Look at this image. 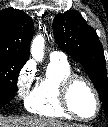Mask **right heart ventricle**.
<instances>
[{
	"mask_svg": "<svg viewBox=\"0 0 108 127\" xmlns=\"http://www.w3.org/2000/svg\"><path fill=\"white\" fill-rule=\"evenodd\" d=\"M67 61L51 60L43 77L36 83L26 101L27 109L36 115L56 118H71L60 101L62 81L72 74Z\"/></svg>",
	"mask_w": 108,
	"mask_h": 127,
	"instance_id": "right-heart-ventricle-1",
	"label": "right heart ventricle"
}]
</instances>
